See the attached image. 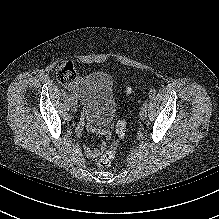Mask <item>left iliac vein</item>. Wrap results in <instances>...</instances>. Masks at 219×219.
Returning a JSON list of instances; mask_svg holds the SVG:
<instances>
[{
	"instance_id": "obj_1",
	"label": "left iliac vein",
	"mask_w": 219,
	"mask_h": 219,
	"mask_svg": "<svg viewBox=\"0 0 219 219\" xmlns=\"http://www.w3.org/2000/svg\"><path fill=\"white\" fill-rule=\"evenodd\" d=\"M139 115L141 120H145L147 117V109L142 108Z\"/></svg>"
}]
</instances>
